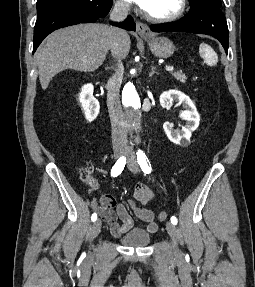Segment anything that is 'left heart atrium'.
<instances>
[{
  "instance_id": "1",
  "label": "left heart atrium",
  "mask_w": 255,
  "mask_h": 287,
  "mask_svg": "<svg viewBox=\"0 0 255 287\" xmlns=\"http://www.w3.org/2000/svg\"><path fill=\"white\" fill-rule=\"evenodd\" d=\"M141 1L142 3H147L148 0H139Z\"/></svg>"
}]
</instances>
